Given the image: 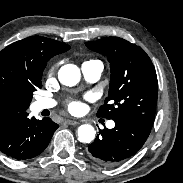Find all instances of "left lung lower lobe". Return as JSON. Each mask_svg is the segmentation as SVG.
<instances>
[{"mask_svg":"<svg viewBox=\"0 0 183 183\" xmlns=\"http://www.w3.org/2000/svg\"><path fill=\"white\" fill-rule=\"evenodd\" d=\"M113 129L104 128L89 145L87 156L95 163L112 167L137 153L147 140L152 126L133 118L115 119Z\"/></svg>","mask_w":183,"mask_h":183,"instance_id":"obj_1","label":"left lung lower lobe"}]
</instances>
